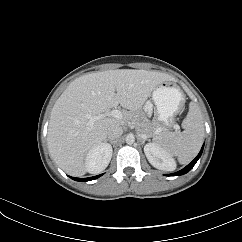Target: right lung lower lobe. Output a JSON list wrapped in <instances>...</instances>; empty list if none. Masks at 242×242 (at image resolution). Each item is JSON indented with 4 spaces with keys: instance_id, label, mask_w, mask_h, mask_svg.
<instances>
[{
    "instance_id": "98d812e1",
    "label": "right lung lower lobe",
    "mask_w": 242,
    "mask_h": 242,
    "mask_svg": "<svg viewBox=\"0 0 242 242\" xmlns=\"http://www.w3.org/2000/svg\"><path fill=\"white\" fill-rule=\"evenodd\" d=\"M101 175H102V174H101ZM101 175H97V176L89 177V178H73V177H71V178H72L73 180H76V181L85 182V181H90V180L97 179V178L100 177Z\"/></svg>"
}]
</instances>
